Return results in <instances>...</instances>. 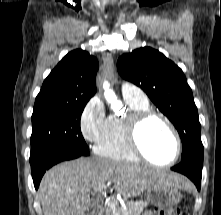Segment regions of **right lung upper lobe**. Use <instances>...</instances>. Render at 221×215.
Here are the masks:
<instances>
[{
	"label": "right lung upper lobe",
	"instance_id": "obj_1",
	"mask_svg": "<svg viewBox=\"0 0 221 215\" xmlns=\"http://www.w3.org/2000/svg\"><path fill=\"white\" fill-rule=\"evenodd\" d=\"M98 61L88 52H69L45 79L35 104L88 102L96 93Z\"/></svg>",
	"mask_w": 221,
	"mask_h": 215
}]
</instances>
